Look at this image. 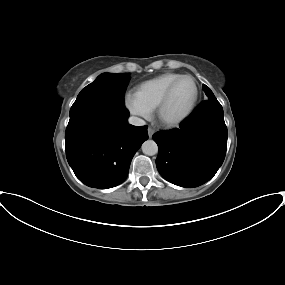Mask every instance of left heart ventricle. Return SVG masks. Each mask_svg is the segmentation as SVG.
<instances>
[{"label":"left heart ventricle","instance_id":"obj_1","mask_svg":"<svg viewBox=\"0 0 285 285\" xmlns=\"http://www.w3.org/2000/svg\"><path fill=\"white\" fill-rule=\"evenodd\" d=\"M195 95V87L191 79L184 78L176 85L164 109V117L176 119L190 107Z\"/></svg>","mask_w":285,"mask_h":285}]
</instances>
